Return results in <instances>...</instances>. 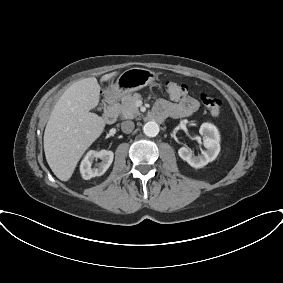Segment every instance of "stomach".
Listing matches in <instances>:
<instances>
[{"instance_id": "1", "label": "stomach", "mask_w": 283, "mask_h": 283, "mask_svg": "<svg viewBox=\"0 0 283 283\" xmlns=\"http://www.w3.org/2000/svg\"><path fill=\"white\" fill-rule=\"evenodd\" d=\"M156 78L154 72L144 68H131L124 71L109 90L110 96L121 98L150 85Z\"/></svg>"}]
</instances>
